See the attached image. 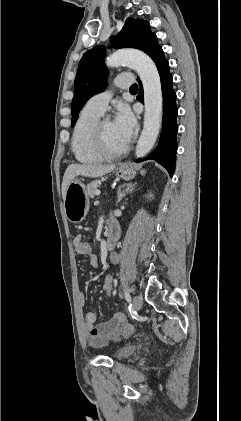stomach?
Here are the masks:
<instances>
[{"instance_id":"obj_1","label":"stomach","mask_w":241,"mask_h":421,"mask_svg":"<svg viewBox=\"0 0 241 421\" xmlns=\"http://www.w3.org/2000/svg\"><path fill=\"white\" fill-rule=\"evenodd\" d=\"M145 171L141 170V174ZM118 177L131 180L136 175L135 168L130 164H120L116 169ZM64 210L67 219L73 223H79L85 219L89 210L87 190L82 180L75 178L68 186L64 198Z\"/></svg>"}]
</instances>
